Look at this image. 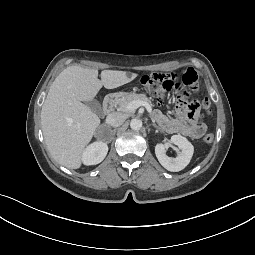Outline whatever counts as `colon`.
<instances>
[{
  "mask_svg": "<svg viewBox=\"0 0 255 255\" xmlns=\"http://www.w3.org/2000/svg\"><path fill=\"white\" fill-rule=\"evenodd\" d=\"M197 82L198 76L193 69H187L183 72L181 82L175 81V75L164 73H151L143 75L140 79L141 85L154 95L174 90L178 95L179 105L194 114H198L201 110H210L208 99L202 101L188 100L190 93L197 89ZM213 140L214 135L212 133H208L204 137L206 143H211Z\"/></svg>",
  "mask_w": 255,
  "mask_h": 255,
  "instance_id": "obj_1",
  "label": "colon"
}]
</instances>
